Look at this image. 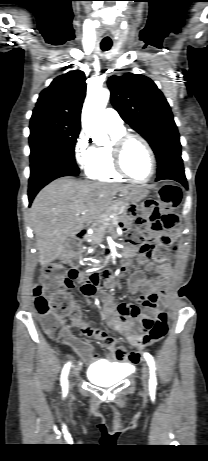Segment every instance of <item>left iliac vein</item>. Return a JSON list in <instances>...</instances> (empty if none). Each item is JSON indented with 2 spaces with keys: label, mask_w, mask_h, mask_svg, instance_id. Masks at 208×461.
<instances>
[{
  "label": "left iliac vein",
  "mask_w": 208,
  "mask_h": 461,
  "mask_svg": "<svg viewBox=\"0 0 208 461\" xmlns=\"http://www.w3.org/2000/svg\"><path fill=\"white\" fill-rule=\"evenodd\" d=\"M149 381H150V369H149L148 364L144 362L143 368H142V383L145 388L149 386Z\"/></svg>",
  "instance_id": "4c4485c4"
}]
</instances>
